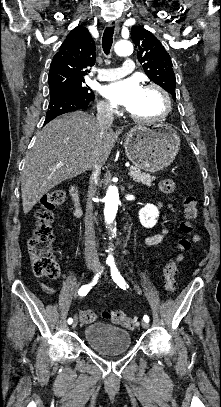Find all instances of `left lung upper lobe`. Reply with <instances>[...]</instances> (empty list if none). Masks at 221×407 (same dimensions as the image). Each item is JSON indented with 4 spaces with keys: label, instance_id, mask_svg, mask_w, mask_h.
<instances>
[{
    "label": "left lung upper lobe",
    "instance_id": "obj_1",
    "mask_svg": "<svg viewBox=\"0 0 221 407\" xmlns=\"http://www.w3.org/2000/svg\"><path fill=\"white\" fill-rule=\"evenodd\" d=\"M131 35L145 74L176 100V78L172 61L161 42L150 31L139 26L132 27Z\"/></svg>",
    "mask_w": 221,
    "mask_h": 407
}]
</instances>
